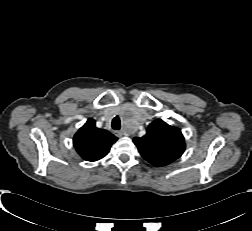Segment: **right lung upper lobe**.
<instances>
[{
    "instance_id": "cb5924a9",
    "label": "right lung upper lobe",
    "mask_w": 252,
    "mask_h": 231,
    "mask_svg": "<svg viewBox=\"0 0 252 231\" xmlns=\"http://www.w3.org/2000/svg\"><path fill=\"white\" fill-rule=\"evenodd\" d=\"M116 141L117 137L97 128L95 121L88 119L74 135L73 145L83 159L93 162L106 156Z\"/></svg>"
}]
</instances>
